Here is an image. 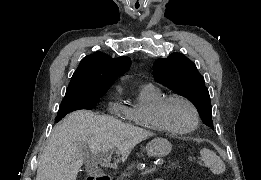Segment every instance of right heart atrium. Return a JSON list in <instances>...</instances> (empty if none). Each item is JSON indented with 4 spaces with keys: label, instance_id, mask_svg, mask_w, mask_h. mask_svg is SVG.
Listing matches in <instances>:
<instances>
[{
    "label": "right heart atrium",
    "instance_id": "obj_1",
    "mask_svg": "<svg viewBox=\"0 0 261 180\" xmlns=\"http://www.w3.org/2000/svg\"><path fill=\"white\" fill-rule=\"evenodd\" d=\"M114 114H119V117H120V120H121V118H122V114H121L120 111H119V112H114ZM123 127H124V125H123Z\"/></svg>",
    "mask_w": 261,
    "mask_h": 180
}]
</instances>
